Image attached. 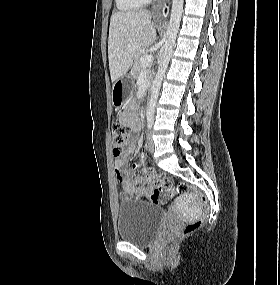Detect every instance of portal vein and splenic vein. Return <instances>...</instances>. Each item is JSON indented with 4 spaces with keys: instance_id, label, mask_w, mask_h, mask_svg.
<instances>
[{
    "instance_id": "1",
    "label": "portal vein and splenic vein",
    "mask_w": 280,
    "mask_h": 285,
    "mask_svg": "<svg viewBox=\"0 0 280 285\" xmlns=\"http://www.w3.org/2000/svg\"><path fill=\"white\" fill-rule=\"evenodd\" d=\"M152 54H147L142 56L140 59V63L142 66H148L152 62Z\"/></svg>"
}]
</instances>
